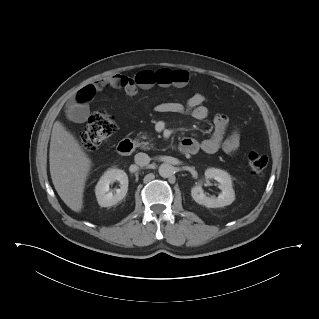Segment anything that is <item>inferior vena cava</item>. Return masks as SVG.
Returning a JSON list of instances; mask_svg holds the SVG:
<instances>
[{"label":"inferior vena cava","mask_w":319,"mask_h":319,"mask_svg":"<svg viewBox=\"0 0 319 319\" xmlns=\"http://www.w3.org/2000/svg\"><path fill=\"white\" fill-rule=\"evenodd\" d=\"M135 163L141 167L146 166L150 162V157L146 153H138L135 155Z\"/></svg>","instance_id":"obj_1"}]
</instances>
